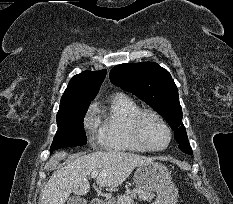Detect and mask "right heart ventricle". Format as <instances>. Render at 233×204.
<instances>
[{
	"instance_id": "1",
	"label": "right heart ventricle",
	"mask_w": 233,
	"mask_h": 204,
	"mask_svg": "<svg viewBox=\"0 0 233 204\" xmlns=\"http://www.w3.org/2000/svg\"><path fill=\"white\" fill-rule=\"evenodd\" d=\"M141 107L124 94L113 95L108 104L97 111V125L103 148L113 151L143 152L134 140L130 122Z\"/></svg>"
}]
</instances>
